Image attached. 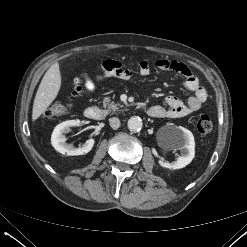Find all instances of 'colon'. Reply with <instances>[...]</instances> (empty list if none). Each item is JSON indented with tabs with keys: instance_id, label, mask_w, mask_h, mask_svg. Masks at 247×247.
Listing matches in <instances>:
<instances>
[{
	"instance_id": "colon-1",
	"label": "colon",
	"mask_w": 247,
	"mask_h": 247,
	"mask_svg": "<svg viewBox=\"0 0 247 247\" xmlns=\"http://www.w3.org/2000/svg\"><path fill=\"white\" fill-rule=\"evenodd\" d=\"M81 92H82L81 81L79 79H76L74 81L72 95L74 97H77L81 94ZM69 107H70L69 103H55L46 109L45 115L48 117L60 116L65 114L68 111ZM212 128H213V123L208 115L204 114L198 118L196 122V129L199 133L207 134L212 130Z\"/></svg>"
}]
</instances>
